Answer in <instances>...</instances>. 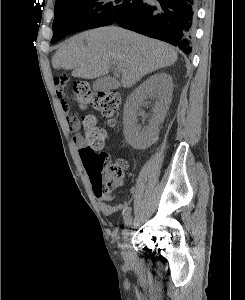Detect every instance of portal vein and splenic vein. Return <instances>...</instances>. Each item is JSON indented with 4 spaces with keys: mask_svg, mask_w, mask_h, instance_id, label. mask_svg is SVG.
<instances>
[{
    "mask_svg": "<svg viewBox=\"0 0 245 300\" xmlns=\"http://www.w3.org/2000/svg\"><path fill=\"white\" fill-rule=\"evenodd\" d=\"M116 72H117V73H119V72H120V70H119L118 68H116Z\"/></svg>",
    "mask_w": 245,
    "mask_h": 300,
    "instance_id": "1",
    "label": "portal vein and splenic vein"
}]
</instances>
